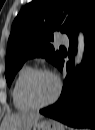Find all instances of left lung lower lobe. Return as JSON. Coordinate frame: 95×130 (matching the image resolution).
Masks as SVG:
<instances>
[{"label": "left lung lower lobe", "instance_id": "left-lung-lower-lobe-1", "mask_svg": "<svg viewBox=\"0 0 95 130\" xmlns=\"http://www.w3.org/2000/svg\"><path fill=\"white\" fill-rule=\"evenodd\" d=\"M85 35V56L75 69L74 56L77 48V31L69 37L67 77L59 100L40 113L76 128H93L95 125V12L80 25ZM61 56L57 67L62 70Z\"/></svg>", "mask_w": 95, "mask_h": 130}]
</instances>
